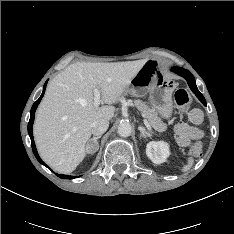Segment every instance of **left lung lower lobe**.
<instances>
[{
	"mask_svg": "<svg viewBox=\"0 0 234 234\" xmlns=\"http://www.w3.org/2000/svg\"><path fill=\"white\" fill-rule=\"evenodd\" d=\"M172 71L179 74L180 76L184 77L187 80L188 85L190 86L191 90L196 94L198 99L204 105H206V101H205L203 95L197 89L194 76L188 70L180 68V67H173Z\"/></svg>",
	"mask_w": 234,
	"mask_h": 234,
	"instance_id": "1",
	"label": "left lung lower lobe"
}]
</instances>
